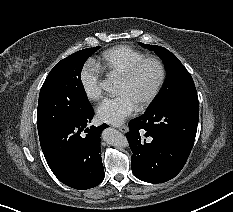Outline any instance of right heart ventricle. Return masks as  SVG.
Here are the masks:
<instances>
[{"mask_svg": "<svg viewBox=\"0 0 233 212\" xmlns=\"http://www.w3.org/2000/svg\"><path fill=\"white\" fill-rule=\"evenodd\" d=\"M146 55L129 46H115L104 51L98 58L97 67L107 74L121 76L134 62Z\"/></svg>", "mask_w": 233, "mask_h": 212, "instance_id": "e07e8e85", "label": "right heart ventricle"}]
</instances>
